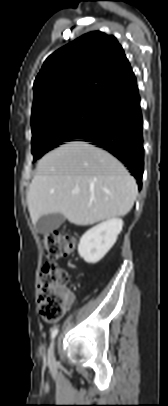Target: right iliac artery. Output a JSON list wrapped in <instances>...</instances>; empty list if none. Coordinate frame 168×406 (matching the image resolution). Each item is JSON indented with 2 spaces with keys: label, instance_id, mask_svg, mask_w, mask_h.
Masks as SVG:
<instances>
[{
  "label": "right iliac artery",
  "instance_id": "1",
  "mask_svg": "<svg viewBox=\"0 0 168 406\" xmlns=\"http://www.w3.org/2000/svg\"><path fill=\"white\" fill-rule=\"evenodd\" d=\"M57 333H58V329H57V328H54V329L52 330V332H51V338L54 339L55 336L57 335Z\"/></svg>",
  "mask_w": 168,
  "mask_h": 406
}]
</instances>
